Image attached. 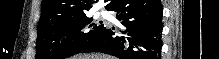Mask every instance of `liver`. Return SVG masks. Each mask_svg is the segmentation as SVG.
<instances>
[{
  "instance_id": "obj_1",
  "label": "liver",
  "mask_w": 219,
  "mask_h": 59,
  "mask_svg": "<svg viewBox=\"0 0 219 59\" xmlns=\"http://www.w3.org/2000/svg\"><path fill=\"white\" fill-rule=\"evenodd\" d=\"M71 59H114L112 56L102 54H86L74 56Z\"/></svg>"
}]
</instances>
